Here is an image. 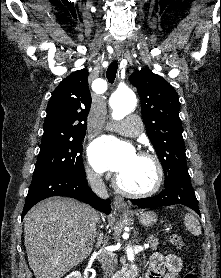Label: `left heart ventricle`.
Here are the masks:
<instances>
[{
    "label": "left heart ventricle",
    "mask_w": 221,
    "mask_h": 278,
    "mask_svg": "<svg viewBox=\"0 0 221 278\" xmlns=\"http://www.w3.org/2000/svg\"><path fill=\"white\" fill-rule=\"evenodd\" d=\"M118 178L125 188L144 191L152 187L155 182V166L150 159L136 154Z\"/></svg>",
    "instance_id": "1"
}]
</instances>
